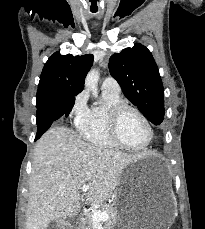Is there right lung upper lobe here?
Segmentation results:
<instances>
[{
    "label": "right lung upper lobe",
    "instance_id": "obj_1",
    "mask_svg": "<svg viewBox=\"0 0 205 229\" xmlns=\"http://www.w3.org/2000/svg\"><path fill=\"white\" fill-rule=\"evenodd\" d=\"M93 64V55L73 56L55 52L40 76L37 101L74 97L84 88V79Z\"/></svg>",
    "mask_w": 205,
    "mask_h": 229
}]
</instances>
